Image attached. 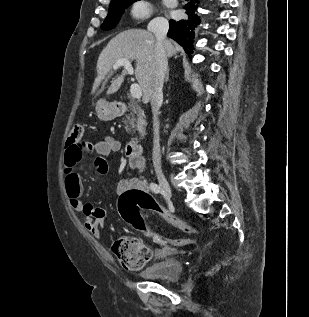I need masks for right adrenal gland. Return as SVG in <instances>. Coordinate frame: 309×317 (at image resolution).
<instances>
[{"label": "right adrenal gland", "instance_id": "obj_1", "mask_svg": "<svg viewBox=\"0 0 309 317\" xmlns=\"http://www.w3.org/2000/svg\"><path fill=\"white\" fill-rule=\"evenodd\" d=\"M169 80V69L167 70V73H166V79H165V82H167Z\"/></svg>", "mask_w": 309, "mask_h": 317}]
</instances>
